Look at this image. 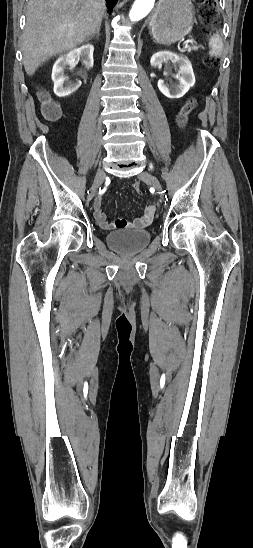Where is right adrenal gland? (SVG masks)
<instances>
[{
	"mask_svg": "<svg viewBox=\"0 0 253 548\" xmlns=\"http://www.w3.org/2000/svg\"><path fill=\"white\" fill-rule=\"evenodd\" d=\"M99 35H100V29H98L93 35L90 36L89 40L96 37V39L98 40L99 39Z\"/></svg>",
	"mask_w": 253,
	"mask_h": 548,
	"instance_id": "2a0ac1e0",
	"label": "right adrenal gland"
}]
</instances>
